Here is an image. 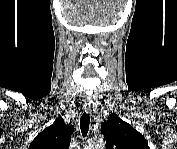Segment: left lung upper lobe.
Here are the masks:
<instances>
[{
  "label": "left lung upper lobe",
  "instance_id": "obj_1",
  "mask_svg": "<svg viewBox=\"0 0 177 149\" xmlns=\"http://www.w3.org/2000/svg\"><path fill=\"white\" fill-rule=\"evenodd\" d=\"M106 149H149L145 138L130 124L111 114L101 126Z\"/></svg>",
  "mask_w": 177,
  "mask_h": 149
}]
</instances>
